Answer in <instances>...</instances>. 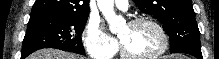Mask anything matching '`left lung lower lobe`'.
Here are the masks:
<instances>
[{
  "label": "left lung lower lobe",
  "mask_w": 219,
  "mask_h": 59,
  "mask_svg": "<svg viewBox=\"0 0 219 59\" xmlns=\"http://www.w3.org/2000/svg\"><path fill=\"white\" fill-rule=\"evenodd\" d=\"M170 53H187L196 57L197 59H203L199 46H185L178 50L171 51Z\"/></svg>",
  "instance_id": "obj_1"
}]
</instances>
